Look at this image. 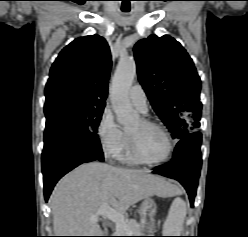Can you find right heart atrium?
Wrapping results in <instances>:
<instances>
[{"label": "right heart atrium", "mask_w": 248, "mask_h": 237, "mask_svg": "<svg viewBox=\"0 0 248 237\" xmlns=\"http://www.w3.org/2000/svg\"><path fill=\"white\" fill-rule=\"evenodd\" d=\"M97 138L107 158H118L123 151L126 135L116 124L114 115L109 108L104 109L97 125Z\"/></svg>", "instance_id": "right-heart-atrium-1"}]
</instances>
